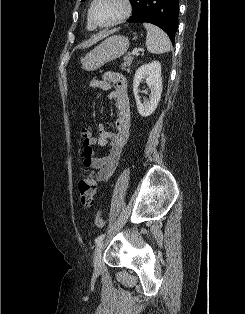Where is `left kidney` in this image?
<instances>
[{"mask_svg":"<svg viewBox=\"0 0 245 314\" xmlns=\"http://www.w3.org/2000/svg\"><path fill=\"white\" fill-rule=\"evenodd\" d=\"M143 80H145L147 85L149 86L150 99L145 100L142 103L138 95L139 92L138 87ZM133 91L139 114L142 117L150 116L157 108L162 93V77L160 62L153 61L151 63L144 64L137 69L133 80Z\"/></svg>","mask_w":245,"mask_h":314,"instance_id":"left-kidney-1","label":"left kidney"}]
</instances>
